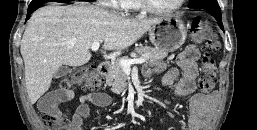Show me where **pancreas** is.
I'll return each mask as SVG.
<instances>
[{"label":"pancreas","instance_id":"cf45deb5","mask_svg":"<svg viewBox=\"0 0 257 130\" xmlns=\"http://www.w3.org/2000/svg\"><path fill=\"white\" fill-rule=\"evenodd\" d=\"M133 53L145 57L150 65H154L168 56L166 51L149 46L136 47ZM121 59H129V57L125 56ZM120 60L113 62L110 73L106 77V84L111 86V90L115 94H120L127 88L128 76L123 71Z\"/></svg>","mask_w":257,"mask_h":130}]
</instances>
